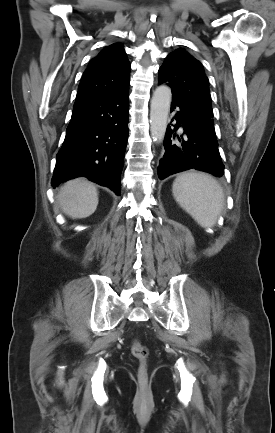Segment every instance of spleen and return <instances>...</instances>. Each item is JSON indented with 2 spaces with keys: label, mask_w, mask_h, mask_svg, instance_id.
<instances>
[{
  "label": "spleen",
  "mask_w": 275,
  "mask_h": 433,
  "mask_svg": "<svg viewBox=\"0 0 275 433\" xmlns=\"http://www.w3.org/2000/svg\"><path fill=\"white\" fill-rule=\"evenodd\" d=\"M179 205L196 222L204 227H212L224 205V193L218 182L203 173H183L172 187Z\"/></svg>",
  "instance_id": "obj_1"
}]
</instances>
